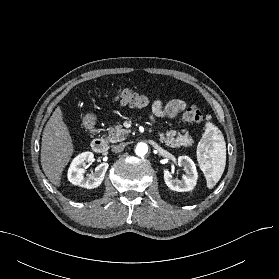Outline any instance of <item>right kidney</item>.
Returning a JSON list of instances; mask_svg holds the SVG:
<instances>
[{"label":"right kidney","mask_w":279,"mask_h":279,"mask_svg":"<svg viewBox=\"0 0 279 279\" xmlns=\"http://www.w3.org/2000/svg\"><path fill=\"white\" fill-rule=\"evenodd\" d=\"M94 154L92 152H83L76 156L68 170V180L83 188L93 189L102 183L105 173L109 167L108 163H101L95 168V172L84 177L85 165L93 160Z\"/></svg>","instance_id":"ca27d5eb"}]
</instances>
